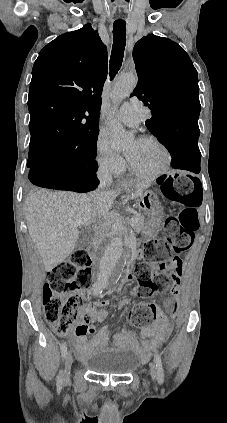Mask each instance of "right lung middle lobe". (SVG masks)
Masks as SVG:
<instances>
[{"label": "right lung middle lobe", "mask_w": 227, "mask_h": 423, "mask_svg": "<svg viewBox=\"0 0 227 423\" xmlns=\"http://www.w3.org/2000/svg\"><path fill=\"white\" fill-rule=\"evenodd\" d=\"M98 132L87 136L79 143L70 147L49 150L41 153L29 154L27 167L32 168L50 157H59L68 160H93L96 156Z\"/></svg>", "instance_id": "dd1d6c3e"}]
</instances>
